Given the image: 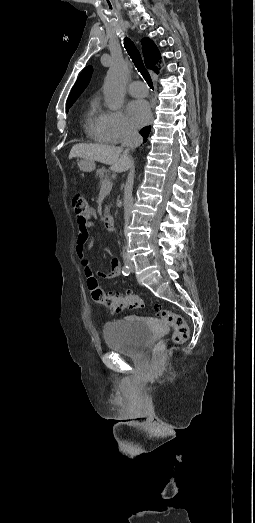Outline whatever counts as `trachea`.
<instances>
[{
    "label": "trachea",
    "mask_w": 255,
    "mask_h": 523,
    "mask_svg": "<svg viewBox=\"0 0 255 523\" xmlns=\"http://www.w3.org/2000/svg\"><path fill=\"white\" fill-rule=\"evenodd\" d=\"M124 47L126 48V51L130 55L134 65L138 69V71L142 74L143 78L146 80L149 87L153 90V82L151 79V76L149 75L148 71L146 70L141 54L139 50L136 48L135 44L127 37L124 39Z\"/></svg>",
    "instance_id": "3493384b"
}]
</instances>
